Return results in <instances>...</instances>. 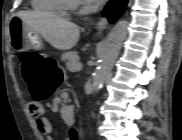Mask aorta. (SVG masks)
<instances>
[{
    "mask_svg": "<svg viewBox=\"0 0 182 140\" xmlns=\"http://www.w3.org/2000/svg\"><path fill=\"white\" fill-rule=\"evenodd\" d=\"M127 28L128 22L121 20L108 34L100 53L99 66L93 77L92 89L94 93L102 87L108 73L111 71L126 38Z\"/></svg>",
    "mask_w": 182,
    "mask_h": 140,
    "instance_id": "aorta-1",
    "label": "aorta"
}]
</instances>
